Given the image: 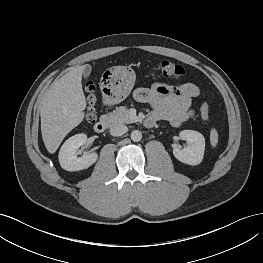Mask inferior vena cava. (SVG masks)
<instances>
[{"label":"inferior vena cava","mask_w":263,"mask_h":263,"mask_svg":"<svg viewBox=\"0 0 263 263\" xmlns=\"http://www.w3.org/2000/svg\"><path fill=\"white\" fill-rule=\"evenodd\" d=\"M128 131V128L124 124H116L111 127L110 134L112 136H122Z\"/></svg>","instance_id":"1"}]
</instances>
